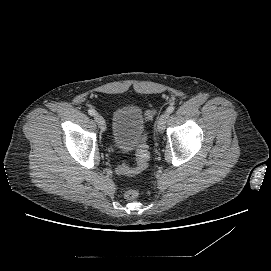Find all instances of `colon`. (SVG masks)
I'll return each mask as SVG.
<instances>
[{"instance_id":"obj_1","label":"colon","mask_w":271,"mask_h":271,"mask_svg":"<svg viewBox=\"0 0 271 271\" xmlns=\"http://www.w3.org/2000/svg\"><path fill=\"white\" fill-rule=\"evenodd\" d=\"M153 115V111H148L146 113V118L150 119ZM136 156L137 162L134 167H131L127 164H122L118 166L117 172L120 174H134L146 168L149 160V152L145 143L139 145ZM124 196L128 200H135L139 196V191L136 188H129L125 191Z\"/></svg>"}]
</instances>
